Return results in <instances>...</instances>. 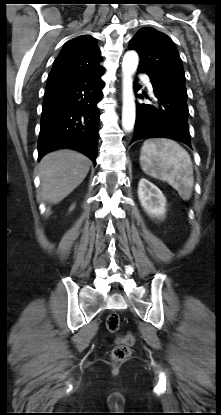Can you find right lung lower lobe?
Listing matches in <instances>:
<instances>
[{
    "label": "right lung lower lobe",
    "instance_id": "right-lung-lower-lobe-1",
    "mask_svg": "<svg viewBox=\"0 0 221 415\" xmlns=\"http://www.w3.org/2000/svg\"><path fill=\"white\" fill-rule=\"evenodd\" d=\"M103 70L48 81L42 105L38 158L69 148L82 152L96 165Z\"/></svg>",
    "mask_w": 221,
    "mask_h": 415
}]
</instances>
